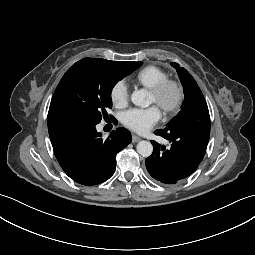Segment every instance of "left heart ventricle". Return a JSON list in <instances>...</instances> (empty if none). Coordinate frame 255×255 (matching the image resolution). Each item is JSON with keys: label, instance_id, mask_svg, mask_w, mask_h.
Returning a JSON list of instances; mask_svg holds the SVG:
<instances>
[{"label": "left heart ventricle", "instance_id": "obj_1", "mask_svg": "<svg viewBox=\"0 0 255 255\" xmlns=\"http://www.w3.org/2000/svg\"><path fill=\"white\" fill-rule=\"evenodd\" d=\"M173 97H174L173 91H168L164 95L162 101L165 102V103H168V102L172 101ZM150 102L157 103V98L153 93H150Z\"/></svg>", "mask_w": 255, "mask_h": 255}]
</instances>
